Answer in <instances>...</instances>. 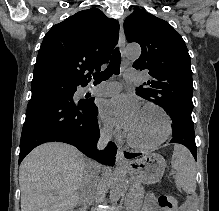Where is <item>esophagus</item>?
I'll return each instance as SVG.
<instances>
[{"mask_svg":"<svg viewBox=\"0 0 219 211\" xmlns=\"http://www.w3.org/2000/svg\"><path fill=\"white\" fill-rule=\"evenodd\" d=\"M119 47L122 58L125 59V35L123 30V20H119ZM116 163L118 165L128 164V161L124 157V153L121 147L118 148L117 155H116Z\"/></svg>","mask_w":219,"mask_h":211,"instance_id":"34e87169","label":"esophagus"}]
</instances>
